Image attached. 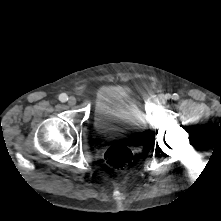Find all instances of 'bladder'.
I'll use <instances>...</instances> for the list:
<instances>
[{"mask_svg": "<svg viewBox=\"0 0 221 221\" xmlns=\"http://www.w3.org/2000/svg\"><path fill=\"white\" fill-rule=\"evenodd\" d=\"M93 123L95 130L105 136L140 134L147 126L136 100L130 93L116 87L107 88L98 96Z\"/></svg>", "mask_w": 221, "mask_h": 221, "instance_id": "1", "label": "bladder"}]
</instances>
